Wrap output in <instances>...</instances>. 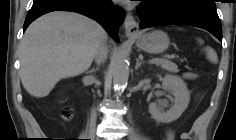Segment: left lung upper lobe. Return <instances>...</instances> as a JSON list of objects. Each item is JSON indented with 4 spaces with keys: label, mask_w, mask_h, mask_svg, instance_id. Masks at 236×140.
Returning <instances> with one entry per match:
<instances>
[{
    "label": "left lung upper lobe",
    "mask_w": 236,
    "mask_h": 140,
    "mask_svg": "<svg viewBox=\"0 0 236 140\" xmlns=\"http://www.w3.org/2000/svg\"><path fill=\"white\" fill-rule=\"evenodd\" d=\"M144 1H146V0H144ZM168 1L176 2V1H180V0H168ZM188 1L215 6V0H188Z\"/></svg>",
    "instance_id": "1"
}]
</instances>
